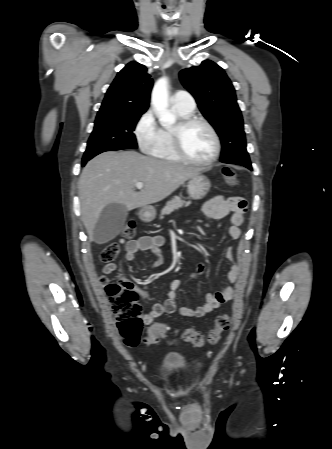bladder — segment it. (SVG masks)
Returning a JSON list of instances; mask_svg holds the SVG:
<instances>
[{
  "mask_svg": "<svg viewBox=\"0 0 332 449\" xmlns=\"http://www.w3.org/2000/svg\"><path fill=\"white\" fill-rule=\"evenodd\" d=\"M189 366L188 358L182 353H168L163 356L159 368V376L167 378Z\"/></svg>",
  "mask_w": 332,
  "mask_h": 449,
  "instance_id": "bladder-1",
  "label": "bladder"
}]
</instances>
